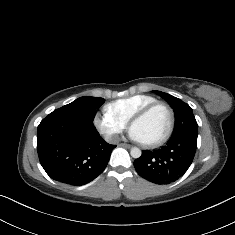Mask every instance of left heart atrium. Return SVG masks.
Segmentation results:
<instances>
[{"label": "left heart atrium", "mask_w": 235, "mask_h": 235, "mask_svg": "<svg viewBox=\"0 0 235 235\" xmlns=\"http://www.w3.org/2000/svg\"><path fill=\"white\" fill-rule=\"evenodd\" d=\"M128 136L132 141L142 143V139L140 135L133 127L130 128Z\"/></svg>", "instance_id": "obj_1"}]
</instances>
